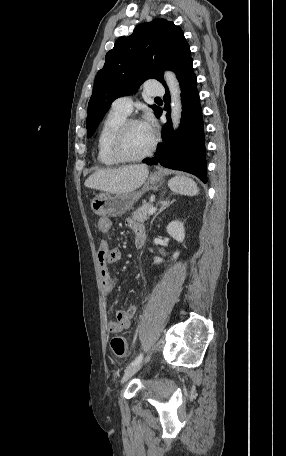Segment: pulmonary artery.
Here are the masks:
<instances>
[{
	"label": "pulmonary artery",
	"mask_w": 286,
	"mask_h": 456,
	"mask_svg": "<svg viewBox=\"0 0 286 456\" xmlns=\"http://www.w3.org/2000/svg\"><path fill=\"white\" fill-rule=\"evenodd\" d=\"M146 92L151 96H162L165 91L162 87L157 85L155 79H150L147 82ZM133 99L131 96H122L114 100L112 103V109L129 115L132 111Z\"/></svg>",
	"instance_id": "e3ab8cb5"
}]
</instances>
